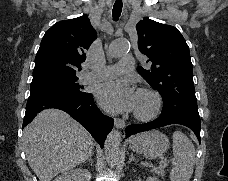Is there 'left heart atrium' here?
Returning a JSON list of instances; mask_svg holds the SVG:
<instances>
[{
    "mask_svg": "<svg viewBox=\"0 0 228 181\" xmlns=\"http://www.w3.org/2000/svg\"><path fill=\"white\" fill-rule=\"evenodd\" d=\"M100 101L116 112L130 111L135 107V96L131 85L124 80L115 79L103 84L99 90ZM120 98H124L120 103Z\"/></svg>",
    "mask_w": 228,
    "mask_h": 181,
    "instance_id": "39dd6f15",
    "label": "left heart atrium"
}]
</instances>
